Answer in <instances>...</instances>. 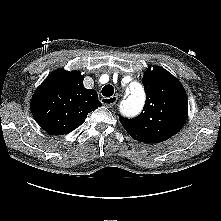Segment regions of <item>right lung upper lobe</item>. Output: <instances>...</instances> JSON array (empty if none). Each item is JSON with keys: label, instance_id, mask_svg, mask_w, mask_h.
Wrapping results in <instances>:
<instances>
[{"label": "right lung upper lobe", "instance_id": "1", "mask_svg": "<svg viewBox=\"0 0 221 221\" xmlns=\"http://www.w3.org/2000/svg\"><path fill=\"white\" fill-rule=\"evenodd\" d=\"M83 79L78 71L58 69L37 88L31 111L47 133L67 134L79 127L88 113L102 106L96 91L84 88Z\"/></svg>", "mask_w": 221, "mask_h": 221}]
</instances>
